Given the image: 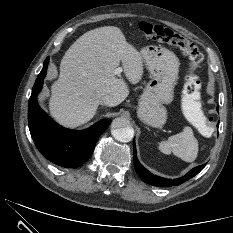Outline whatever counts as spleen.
Instances as JSON below:
<instances>
[{"label":"spleen","mask_w":233,"mask_h":233,"mask_svg":"<svg viewBox=\"0 0 233 233\" xmlns=\"http://www.w3.org/2000/svg\"><path fill=\"white\" fill-rule=\"evenodd\" d=\"M198 107L196 108V119L199 120L201 115L198 114ZM159 150L164 154L173 153L178 158L186 162H193L198 154V141L195 138L190 127H184L183 131L172 135L166 141L159 144Z\"/></svg>","instance_id":"3e777b00"}]
</instances>
